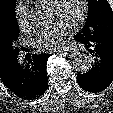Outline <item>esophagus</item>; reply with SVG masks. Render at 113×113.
<instances>
[{
	"mask_svg": "<svg viewBox=\"0 0 113 113\" xmlns=\"http://www.w3.org/2000/svg\"><path fill=\"white\" fill-rule=\"evenodd\" d=\"M62 53H64V54H66L67 56H74V55H76V51L75 50H73V49H68V50H65V51H61Z\"/></svg>",
	"mask_w": 113,
	"mask_h": 113,
	"instance_id": "34e87169",
	"label": "esophagus"
}]
</instances>
